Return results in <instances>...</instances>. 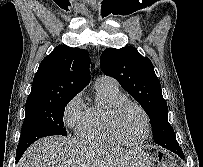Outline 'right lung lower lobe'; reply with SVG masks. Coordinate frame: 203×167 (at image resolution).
Segmentation results:
<instances>
[{
  "mask_svg": "<svg viewBox=\"0 0 203 167\" xmlns=\"http://www.w3.org/2000/svg\"><path fill=\"white\" fill-rule=\"evenodd\" d=\"M30 145H24L22 147L17 148V152H16V162L19 161V159L21 158V156L23 155V153L25 152V150L29 147Z\"/></svg>",
  "mask_w": 203,
  "mask_h": 167,
  "instance_id": "obj_1",
  "label": "right lung lower lobe"
}]
</instances>
